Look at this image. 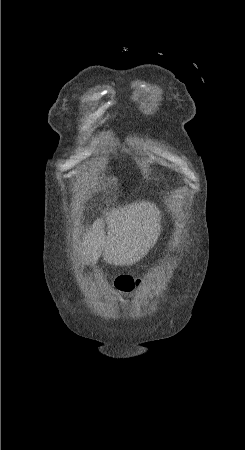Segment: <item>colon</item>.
<instances>
[{
  "label": "colon",
  "mask_w": 245,
  "mask_h": 450,
  "mask_svg": "<svg viewBox=\"0 0 245 450\" xmlns=\"http://www.w3.org/2000/svg\"><path fill=\"white\" fill-rule=\"evenodd\" d=\"M120 285L122 289L128 291V292H134L137 288L138 282L137 280L133 279L132 277H125L120 280Z\"/></svg>",
  "instance_id": "1"
}]
</instances>
